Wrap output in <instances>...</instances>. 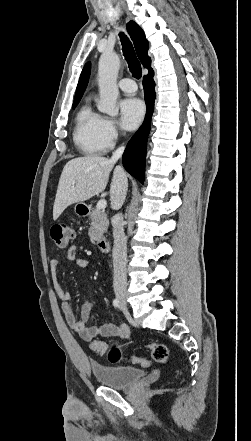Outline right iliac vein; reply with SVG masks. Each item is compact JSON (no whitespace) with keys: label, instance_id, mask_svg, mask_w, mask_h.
Listing matches in <instances>:
<instances>
[{"label":"right iliac vein","instance_id":"obj_1","mask_svg":"<svg viewBox=\"0 0 251 441\" xmlns=\"http://www.w3.org/2000/svg\"><path fill=\"white\" fill-rule=\"evenodd\" d=\"M117 299L120 301L121 306L124 309H126L127 308L126 295L124 293H117Z\"/></svg>","mask_w":251,"mask_h":441}]
</instances>
